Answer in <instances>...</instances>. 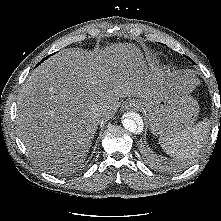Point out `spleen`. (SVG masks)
Returning <instances> with one entry per match:
<instances>
[{
    "instance_id": "3e777b00",
    "label": "spleen",
    "mask_w": 221,
    "mask_h": 221,
    "mask_svg": "<svg viewBox=\"0 0 221 221\" xmlns=\"http://www.w3.org/2000/svg\"><path fill=\"white\" fill-rule=\"evenodd\" d=\"M204 123L191 125L183 130L170 132L159 138L164 151L168 154H178L183 157H191L200 148L202 128Z\"/></svg>"
}]
</instances>
